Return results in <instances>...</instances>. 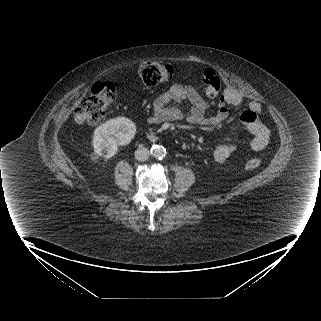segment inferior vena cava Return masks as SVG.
I'll list each match as a JSON object with an SVG mask.
<instances>
[{
    "label": "inferior vena cava",
    "instance_id": "inferior-vena-cava-1",
    "mask_svg": "<svg viewBox=\"0 0 321 321\" xmlns=\"http://www.w3.org/2000/svg\"><path fill=\"white\" fill-rule=\"evenodd\" d=\"M150 155V151L147 149V148H138L136 151H135V158L136 160L140 161V162H144L148 159Z\"/></svg>",
    "mask_w": 321,
    "mask_h": 321
}]
</instances>
